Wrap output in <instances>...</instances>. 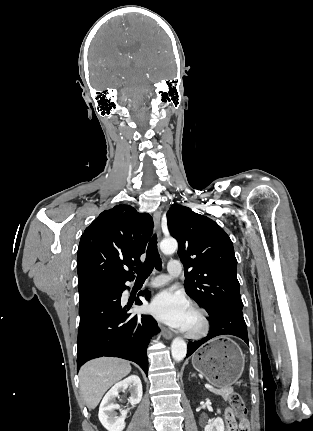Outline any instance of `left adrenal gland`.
<instances>
[{
    "mask_svg": "<svg viewBox=\"0 0 313 431\" xmlns=\"http://www.w3.org/2000/svg\"><path fill=\"white\" fill-rule=\"evenodd\" d=\"M191 376H192V377H196V374H195V373H193Z\"/></svg>",
    "mask_w": 313,
    "mask_h": 431,
    "instance_id": "1",
    "label": "left adrenal gland"
}]
</instances>
